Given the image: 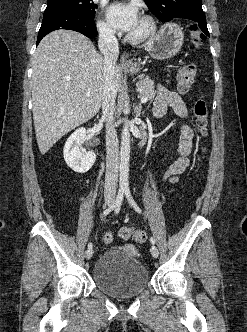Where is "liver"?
I'll return each instance as SVG.
<instances>
[{
    "instance_id": "6515ba94",
    "label": "liver",
    "mask_w": 247,
    "mask_h": 332,
    "mask_svg": "<svg viewBox=\"0 0 247 332\" xmlns=\"http://www.w3.org/2000/svg\"><path fill=\"white\" fill-rule=\"evenodd\" d=\"M103 65L93 43L78 32L57 30L42 39L33 55L31 77L33 120L42 155L99 112ZM120 79L121 67L116 65V90Z\"/></svg>"
}]
</instances>
